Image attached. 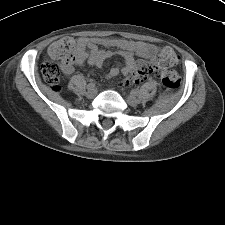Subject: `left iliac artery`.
I'll return each instance as SVG.
<instances>
[{
    "label": "left iliac artery",
    "mask_w": 225,
    "mask_h": 225,
    "mask_svg": "<svg viewBox=\"0 0 225 225\" xmlns=\"http://www.w3.org/2000/svg\"><path fill=\"white\" fill-rule=\"evenodd\" d=\"M133 93L136 94L137 92L136 91H133Z\"/></svg>",
    "instance_id": "obj_1"
}]
</instances>
